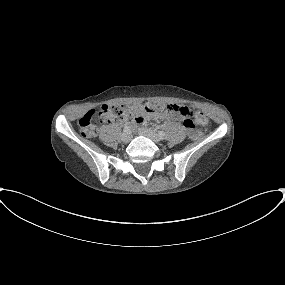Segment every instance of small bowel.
Returning a JSON list of instances; mask_svg holds the SVG:
<instances>
[{"instance_id":"1","label":"small bowel","mask_w":285,"mask_h":285,"mask_svg":"<svg viewBox=\"0 0 285 285\" xmlns=\"http://www.w3.org/2000/svg\"><path fill=\"white\" fill-rule=\"evenodd\" d=\"M175 107H181V106L177 104H163L162 110L159 111L158 113L153 114L152 116L159 120H176L184 123L186 119L185 114L181 110L172 109ZM149 117H150L149 115L143 118L138 117L135 120H133V123L143 125L146 119Z\"/></svg>"}]
</instances>
